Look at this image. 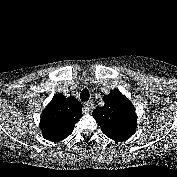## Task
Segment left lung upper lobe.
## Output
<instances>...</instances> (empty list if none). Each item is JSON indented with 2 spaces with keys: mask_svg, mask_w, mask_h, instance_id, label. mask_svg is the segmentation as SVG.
Here are the masks:
<instances>
[{
  "mask_svg": "<svg viewBox=\"0 0 177 177\" xmlns=\"http://www.w3.org/2000/svg\"><path fill=\"white\" fill-rule=\"evenodd\" d=\"M103 107L93 111V117L102 132L116 142L129 139L136 131L137 116L135 108L119 90H112L104 95Z\"/></svg>",
  "mask_w": 177,
  "mask_h": 177,
  "instance_id": "obj_1",
  "label": "left lung upper lobe"
}]
</instances>
